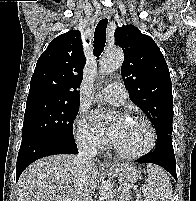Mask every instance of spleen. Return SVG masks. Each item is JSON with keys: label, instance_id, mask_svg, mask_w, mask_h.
<instances>
[{"label": "spleen", "instance_id": "3e777b00", "mask_svg": "<svg viewBox=\"0 0 196 201\" xmlns=\"http://www.w3.org/2000/svg\"><path fill=\"white\" fill-rule=\"evenodd\" d=\"M148 178L142 186L140 201H172V186L167 173L159 166H147Z\"/></svg>", "mask_w": 196, "mask_h": 201}]
</instances>
